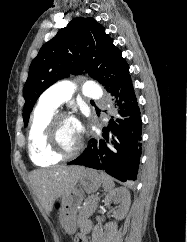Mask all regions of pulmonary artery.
Instances as JSON below:
<instances>
[{
	"instance_id": "pulmonary-artery-1",
	"label": "pulmonary artery",
	"mask_w": 187,
	"mask_h": 242,
	"mask_svg": "<svg viewBox=\"0 0 187 242\" xmlns=\"http://www.w3.org/2000/svg\"><path fill=\"white\" fill-rule=\"evenodd\" d=\"M75 84L71 81H61L48 88L41 96L40 102L44 105L58 108L66 102L75 91ZM81 90L84 96L92 99H97L100 96V87L92 82L86 81L82 84Z\"/></svg>"
}]
</instances>
